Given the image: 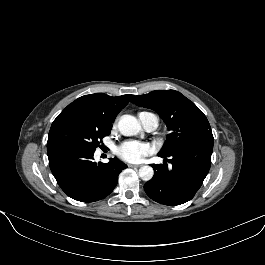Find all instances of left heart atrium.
<instances>
[{
    "instance_id": "1",
    "label": "left heart atrium",
    "mask_w": 265,
    "mask_h": 265,
    "mask_svg": "<svg viewBox=\"0 0 265 265\" xmlns=\"http://www.w3.org/2000/svg\"><path fill=\"white\" fill-rule=\"evenodd\" d=\"M151 147L138 141H127L117 150V154L129 162H138L151 153Z\"/></svg>"
}]
</instances>
